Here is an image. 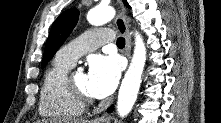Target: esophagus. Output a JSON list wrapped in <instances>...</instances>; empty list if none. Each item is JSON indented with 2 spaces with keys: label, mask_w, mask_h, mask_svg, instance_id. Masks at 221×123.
<instances>
[{
  "label": "esophagus",
  "mask_w": 221,
  "mask_h": 123,
  "mask_svg": "<svg viewBox=\"0 0 221 123\" xmlns=\"http://www.w3.org/2000/svg\"><path fill=\"white\" fill-rule=\"evenodd\" d=\"M115 24L119 32L124 35L126 40V46H125V54L128 59L131 57V37L130 32L127 24L125 9L122 6L121 2H119V13L116 17Z\"/></svg>",
  "instance_id": "obj_1"
}]
</instances>
